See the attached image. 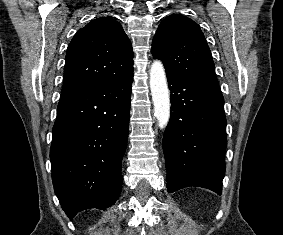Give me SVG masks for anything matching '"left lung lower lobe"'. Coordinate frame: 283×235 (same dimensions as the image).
Segmentation results:
<instances>
[{
    "label": "left lung lower lobe",
    "mask_w": 283,
    "mask_h": 235,
    "mask_svg": "<svg viewBox=\"0 0 283 235\" xmlns=\"http://www.w3.org/2000/svg\"><path fill=\"white\" fill-rule=\"evenodd\" d=\"M171 115L163 136L167 189L198 186L222 192L227 145L219 86L167 73Z\"/></svg>",
    "instance_id": "0a47b994"
}]
</instances>
